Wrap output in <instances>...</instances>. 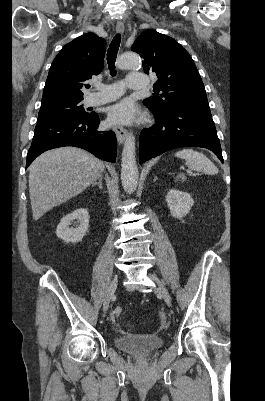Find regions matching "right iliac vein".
<instances>
[{
    "mask_svg": "<svg viewBox=\"0 0 265 401\" xmlns=\"http://www.w3.org/2000/svg\"><path fill=\"white\" fill-rule=\"evenodd\" d=\"M117 285H118V277L115 276L113 278V280L111 281L109 287H108V290H107V293H106V296H105V299H104V302H103V312H107V310L109 308V305H110V302H111V300H112V298L114 296V293H115V291L117 289Z\"/></svg>",
    "mask_w": 265,
    "mask_h": 401,
    "instance_id": "right-iliac-vein-1",
    "label": "right iliac vein"
}]
</instances>
